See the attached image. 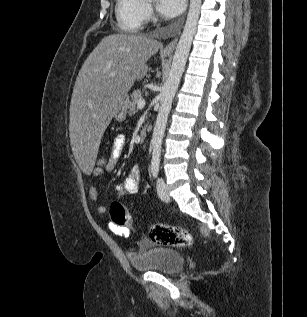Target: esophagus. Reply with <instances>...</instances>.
I'll use <instances>...</instances> for the list:
<instances>
[{
	"label": "esophagus",
	"mask_w": 307,
	"mask_h": 317,
	"mask_svg": "<svg viewBox=\"0 0 307 317\" xmlns=\"http://www.w3.org/2000/svg\"><path fill=\"white\" fill-rule=\"evenodd\" d=\"M178 38H175L172 42H170L163 50L164 53H172L176 47Z\"/></svg>",
	"instance_id": "1"
}]
</instances>
